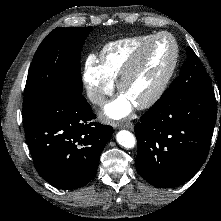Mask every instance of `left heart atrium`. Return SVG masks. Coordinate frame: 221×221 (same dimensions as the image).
<instances>
[{"mask_svg":"<svg viewBox=\"0 0 221 221\" xmlns=\"http://www.w3.org/2000/svg\"><path fill=\"white\" fill-rule=\"evenodd\" d=\"M133 106V102L124 94H121L105 107L104 113L110 119L120 120L127 117L132 112Z\"/></svg>","mask_w":221,"mask_h":221,"instance_id":"39dd6f15","label":"left heart atrium"}]
</instances>
